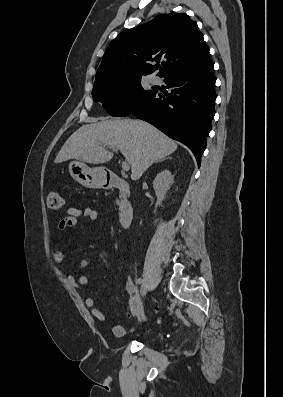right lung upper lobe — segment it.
<instances>
[{"label": "right lung upper lobe", "instance_id": "right-lung-upper-lobe-1", "mask_svg": "<svg viewBox=\"0 0 283 397\" xmlns=\"http://www.w3.org/2000/svg\"><path fill=\"white\" fill-rule=\"evenodd\" d=\"M210 58L197 23L185 13L157 16L120 33L109 45L97 70L96 81L142 77L158 69L160 77Z\"/></svg>", "mask_w": 283, "mask_h": 397}]
</instances>
